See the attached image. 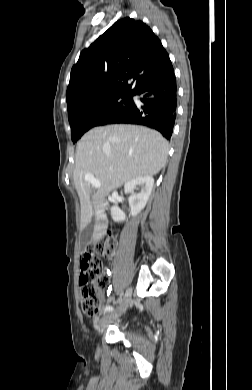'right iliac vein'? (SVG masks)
Listing matches in <instances>:
<instances>
[{"label":"right iliac vein","mask_w":252,"mask_h":390,"mask_svg":"<svg viewBox=\"0 0 252 390\" xmlns=\"http://www.w3.org/2000/svg\"><path fill=\"white\" fill-rule=\"evenodd\" d=\"M131 297H132V289L129 288V289H127V291L123 297V301H122L121 305L118 306L116 310L111 311L106 316H104V318L100 322L99 327L107 325L108 323L118 319L123 313H125V311L127 310L128 306H129V303L131 301Z\"/></svg>","instance_id":"63e3f726"}]
</instances>
